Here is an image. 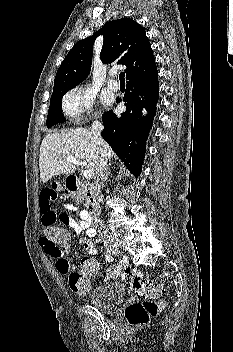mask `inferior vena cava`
I'll use <instances>...</instances> for the list:
<instances>
[{"mask_svg":"<svg viewBox=\"0 0 233 352\" xmlns=\"http://www.w3.org/2000/svg\"><path fill=\"white\" fill-rule=\"evenodd\" d=\"M102 130H103L102 123L98 120H95L92 123L91 132L94 137V140L98 144L99 152H100V157L97 164L96 176H95V183L98 189V193H100L102 181L104 179L105 170L107 167V151H106L103 139L101 137ZM97 222L101 224V228H102V222L100 220H97ZM100 236L106 246L114 242V238L112 237V235L108 234L105 230L101 232Z\"/></svg>","mask_w":233,"mask_h":352,"instance_id":"obj_1","label":"inferior vena cava"}]
</instances>
